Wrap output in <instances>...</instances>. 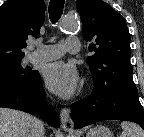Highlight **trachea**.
Instances as JSON below:
<instances>
[{"mask_svg": "<svg viewBox=\"0 0 144 137\" xmlns=\"http://www.w3.org/2000/svg\"><path fill=\"white\" fill-rule=\"evenodd\" d=\"M65 0H50L49 18L52 23H56L63 13Z\"/></svg>", "mask_w": 144, "mask_h": 137, "instance_id": "3493384b", "label": "trachea"}]
</instances>
